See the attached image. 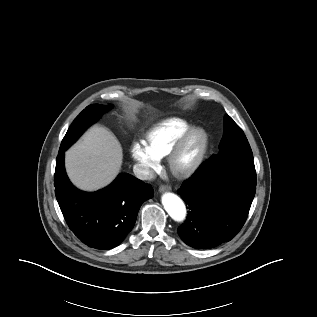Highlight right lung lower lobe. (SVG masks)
I'll list each match as a JSON object with an SVG mask.
<instances>
[{"label": "right lung lower lobe", "mask_w": 317, "mask_h": 317, "mask_svg": "<svg viewBox=\"0 0 317 317\" xmlns=\"http://www.w3.org/2000/svg\"><path fill=\"white\" fill-rule=\"evenodd\" d=\"M65 150L59 149L54 186L67 225L89 247L108 250L118 246L132 230L142 203L153 196L152 187L121 173L102 190L80 191L66 175Z\"/></svg>", "instance_id": "98d812e1"}]
</instances>
